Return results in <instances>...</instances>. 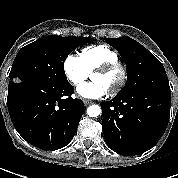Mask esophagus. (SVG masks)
I'll return each mask as SVG.
<instances>
[{
  "label": "esophagus",
  "instance_id": "34e87169",
  "mask_svg": "<svg viewBox=\"0 0 178 178\" xmlns=\"http://www.w3.org/2000/svg\"><path fill=\"white\" fill-rule=\"evenodd\" d=\"M90 104H92V101H91V100H84V105H85V106H88V105H90Z\"/></svg>",
  "mask_w": 178,
  "mask_h": 178
}]
</instances>
